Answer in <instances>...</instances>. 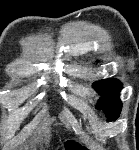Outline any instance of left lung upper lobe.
<instances>
[{"instance_id": "1", "label": "left lung upper lobe", "mask_w": 139, "mask_h": 150, "mask_svg": "<svg viewBox=\"0 0 139 150\" xmlns=\"http://www.w3.org/2000/svg\"><path fill=\"white\" fill-rule=\"evenodd\" d=\"M94 89L102 94L96 108L103 110L109 121H114L119 117L122 103L116 95L122 88V84L117 79H105L93 84Z\"/></svg>"}]
</instances>
